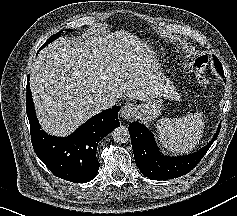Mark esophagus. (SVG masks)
Instances as JSON below:
<instances>
[{
	"label": "esophagus",
	"instance_id": "esophagus-1",
	"mask_svg": "<svg viewBox=\"0 0 237 216\" xmlns=\"http://www.w3.org/2000/svg\"><path fill=\"white\" fill-rule=\"evenodd\" d=\"M136 111L137 109L133 104L126 103L121 109L120 117L123 120H131L135 116Z\"/></svg>",
	"mask_w": 237,
	"mask_h": 216
}]
</instances>
